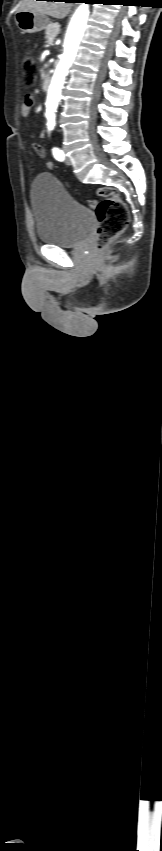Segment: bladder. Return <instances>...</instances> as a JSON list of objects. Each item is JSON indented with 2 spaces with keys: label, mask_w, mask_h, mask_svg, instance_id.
Returning a JSON list of instances; mask_svg holds the SVG:
<instances>
[{
  "label": "bladder",
  "mask_w": 162,
  "mask_h": 851,
  "mask_svg": "<svg viewBox=\"0 0 162 851\" xmlns=\"http://www.w3.org/2000/svg\"><path fill=\"white\" fill-rule=\"evenodd\" d=\"M31 202L40 242L75 248L90 236L95 224L94 213L73 199L53 175L41 174L34 179Z\"/></svg>",
  "instance_id": "31cf9c89"
}]
</instances>
